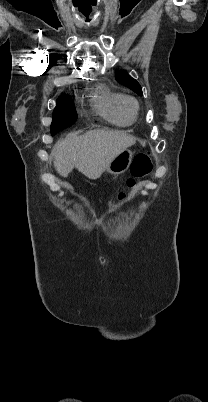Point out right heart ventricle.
Wrapping results in <instances>:
<instances>
[{
    "label": "right heart ventricle",
    "instance_id": "e07e8e85",
    "mask_svg": "<svg viewBox=\"0 0 208 402\" xmlns=\"http://www.w3.org/2000/svg\"><path fill=\"white\" fill-rule=\"evenodd\" d=\"M122 96L102 85L95 91L92 104L96 113L104 120L116 127L126 128L133 125L136 118L124 112L121 105Z\"/></svg>",
    "mask_w": 208,
    "mask_h": 402
}]
</instances>
